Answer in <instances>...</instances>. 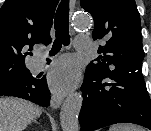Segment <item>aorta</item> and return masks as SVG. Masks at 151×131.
I'll return each instance as SVG.
<instances>
[{
    "label": "aorta",
    "instance_id": "762f6f07",
    "mask_svg": "<svg viewBox=\"0 0 151 131\" xmlns=\"http://www.w3.org/2000/svg\"><path fill=\"white\" fill-rule=\"evenodd\" d=\"M73 26L79 30H85L90 26L89 18L80 14L73 20ZM83 97L80 93L70 94L63 102L60 112V122L63 131H78V117L82 107Z\"/></svg>",
    "mask_w": 151,
    "mask_h": 131
}]
</instances>
